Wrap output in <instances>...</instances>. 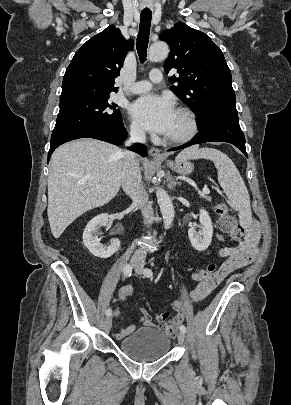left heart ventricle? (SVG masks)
Instances as JSON below:
<instances>
[{"label": "left heart ventricle", "mask_w": 291, "mask_h": 405, "mask_svg": "<svg viewBox=\"0 0 291 405\" xmlns=\"http://www.w3.org/2000/svg\"><path fill=\"white\" fill-rule=\"evenodd\" d=\"M187 130V122L185 117L179 112H175L172 126L166 136H179Z\"/></svg>", "instance_id": "obj_1"}]
</instances>
